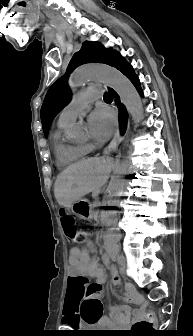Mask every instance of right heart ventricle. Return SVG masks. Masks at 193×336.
<instances>
[{
  "label": "right heart ventricle",
  "mask_w": 193,
  "mask_h": 336,
  "mask_svg": "<svg viewBox=\"0 0 193 336\" xmlns=\"http://www.w3.org/2000/svg\"><path fill=\"white\" fill-rule=\"evenodd\" d=\"M65 126H59L54 134V152L60 166L73 164L81 160L89 151L87 145L67 140L63 131Z\"/></svg>",
  "instance_id": "obj_1"
}]
</instances>
